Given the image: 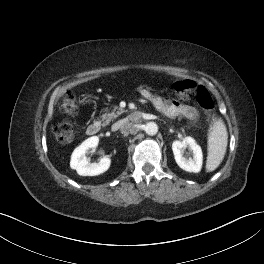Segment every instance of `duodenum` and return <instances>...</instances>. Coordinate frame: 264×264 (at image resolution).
I'll return each mask as SVG.
<instances>
[{"label":"duodenum","mask_w":264,"mask_h":264,"mask_svg":"<svg viewBox=\"0 0 264 264\" xmlns=\"http://www.w3.org/2000/svg\"><path fill=\"white\" fill-rule=\"evenodd\" d=\"M100 128H101V124L98 121H95V122H92L91 124H89L86 132L90 136H95L99 133Z\"/></svg>","instance_id":"1"}]
</instances>
